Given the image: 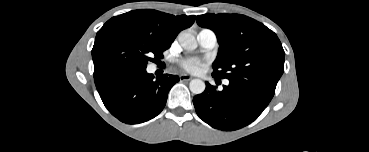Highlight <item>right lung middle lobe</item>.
I'll return each instance as SVG.
<instances>
[{"label": "right lung middle lobe", "mask_w": 369, "mask_h": 152, "mask_svg": "<svg viewBox=\"0 0 369 152\" xmlns=\"http://www.w3.org/2000/svg\"><path fill=\"white\" fill-rule=\"evenodd\" d=\"M168 49L135 28L111 23L98 31L92 49L94 77L119 67L146 68Z\"/></svg>", "instance_id": "dd1d6c3e"}]
</instances>
